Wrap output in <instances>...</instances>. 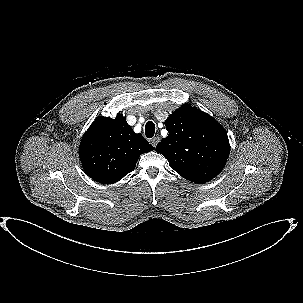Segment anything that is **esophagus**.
<instances>
[{
    "label": "esophagus",
    "mask_w": 303,
    "mask_h": 303,
    "mask_svg": "<svg viewBox=\"0 0 303 303\" xmlns=\"http://www.w3.org/2000/svg\"><path fill=\"white\" fill-rule=\"evenodd\" d=\"M153 147H156L157 143L159 142V137H154L150 140Z\"/></svg>",
    "instance_id": "esophagus-1"
}]
</instances>
